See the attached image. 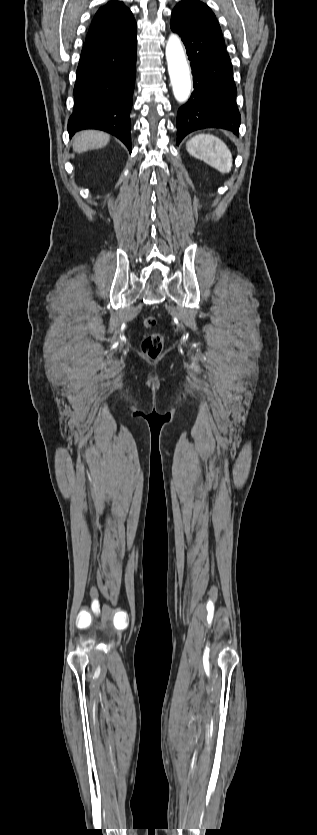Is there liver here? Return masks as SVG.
Instances as JSON below:
<instances>
[{
  "instance_id": "6515ba94",
  "label": "liver",
  "mask_w": 317,
  "mask_h": 835,
  "mask_svg": "<svg viewBox=\"0 0 317 835\" xmlns=\"http://www.w3.org/2000/svg\"><path fill=\"white\" fill-rule=\"evenodd\" d=\"M110 140L108 134L89 130L77 133L73 139V150L82 153L88 150L98 149L106 146Z\"/></svg>"
}]
</instances>
